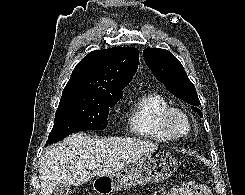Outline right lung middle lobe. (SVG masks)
<instances>
[{
  "mask_svg": "<svg viewBox=\"0 0 245 195\" xmlns=\"http://www.w3.org/2000/svg\"><path fill=\"white\" fill-rule=\"evenodd\" d=\"M119 99L96 93L62 94L46 145L58 142L74 132L105 129L109 108Z\"/></svg>",
  "mask_w": 245,
  "mask_h": 195,
  "instance_id": "obj_1",
  "label": "right lung middle lobe"
}]
</instances>
